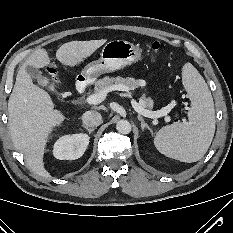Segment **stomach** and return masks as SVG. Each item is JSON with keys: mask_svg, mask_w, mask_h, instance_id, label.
Wrapping results in <instances>:
<instances>
[{"mask_svg": "<svg viewBox=\"0 0 233 233\" xmlns=\"http://www.w3.org/2000/svg\"><path fill=\"white\" fill-rule=\"evenodd\" d=\"M141 60L142 50L139 46L125 40H112L104 45L98 60L83 68L81 76L92 82L101 74L120 70Z\"/></svg>", "mask_w": 233, "mask_h": 233, "instance_id": "obj_1", "label": "stomach"}]
</instances>
